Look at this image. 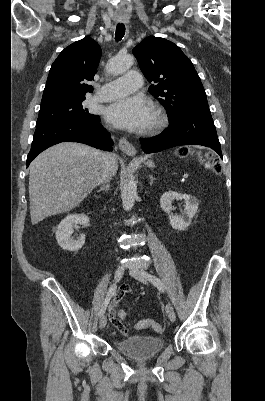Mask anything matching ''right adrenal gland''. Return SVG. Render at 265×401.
I'll return each instance as SVG.
<instances>
[{"mask_svg":"<svg viewBox=\"0 0 265 401\" xmlns=\"http://www.w3.org/2000/svg\"><path fill=\"white\" fill-rule=\"evenodd\" d=\"M109 180H107L106 184H102V186H100L99 190H97V192H101V190H105V192H108L109 190Z\"/></svg>","mask_w":265,"mask_h":401,"instance_id":"2a0ac1e0","label":"right adrenal gland"}]
</instances>
